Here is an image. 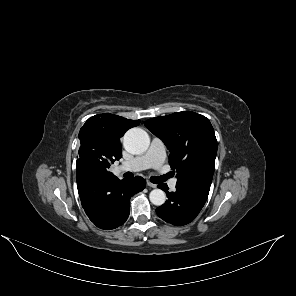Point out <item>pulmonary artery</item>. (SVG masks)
Here are the masks:
<instances>
[{
  "instance_id": "obj_1",
  "label": "pulmonary artery",
  "mask_w": 296,
  "mask_h": 296,
  "mask_svg": "<svg viewBox=\"0 0 296 296\" xmlns=\"http://www.w3.org/2000/svg\"><path fill=\"white\" fill-rule=\"evenodd\" d=\"M165 160V145L161 139L153 137L150 147L146 153L141 156H137L116 168L117 173L125 171H140L148 168L157 169L161 167ZM176 178L171 179L168 185L171 189L176 186Z\"/></svg>"
}]
</instances>
